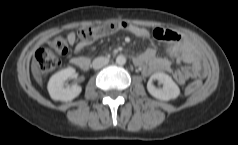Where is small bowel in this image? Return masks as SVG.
I'll return each instance as SVG.
<instances>
[{"label": "small bowel", "instance_id": "c3829d8e", "mask_svg": "<svg viewBox=\"0 0 238 145\" xmlns=\"http://www.w3.org/2000/svg\"><path fill=\"white\" fill-rule=\"evenodd\" d=\"M128 32L142 40L152 39L158 42H167V49L179 51V56L175 59L159 57L153 48H148L140 55H137L136 64L142 67L145 74L169 73L172 72L171 65L173 61L185 62L188 67H182L173 72L175 80L178 84H184L190 78H203L207 74V68L203 62L200 53L187 41L182 40L181 32L171 28L152 27L148 31L143 27L136 25H128ZM69 41L75 42L73 34L69 35ZM84 45L78 43L74 49V57L71 59L72 64L86 69L89 65V60L79 55L83 50Z\"/></svg>", "mask_w": 238, "mask_h": 145}]
</instances>
